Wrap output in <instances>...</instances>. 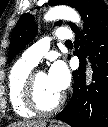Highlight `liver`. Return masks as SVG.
Wrapping results in <instances>:
<instances>
[{"label":"liver","mask_w":108,"mask_h":127,"mask_svg":"<svg viewBox=\"0 0 108 127\" xmlns=\"http://www.w3.org/2000/svg\"><path fill=\"white\" fill-rule=\"evenodd\" d=\"M46 122L44 120L41 121H21L10 124L8 127H45Z\"/></svg>","instance_id":"6515ba94"}]
</instances>
